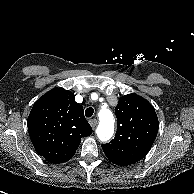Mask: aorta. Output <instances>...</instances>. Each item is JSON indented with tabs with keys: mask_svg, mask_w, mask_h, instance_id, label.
I'll return each mask as SVG.
<instances>
[{
	"mask_svg": "<svg viewBox=\"0 0 194 194\" xmlns=\"http://www.w3.org/2000/svg\"><path fill=\"white\" fill-rule=\"evenodd\" d=\"M99 125L96 129V134L100 141H108L114 133V117L112 112L103 108L99 112Z\"/></svg>",
	"mask_w": 194,
	"mask_h": 194,
	"instance_id": "762f6f07",
	"label": "aorta"
}]
</instances>
